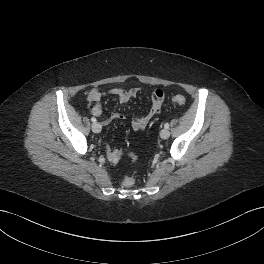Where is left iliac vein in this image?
I'll use <instances>...</instances> for the list:
<instances>
[{"instance_id":"left-iliac-vein-1","label":"left iliac vein","mask_w":264,"mask_h":264,"mask_svg":"<svg viewBox=\"0 0 264 264\" xmlns=\"http://www.w3.org/2000/svg\"><path fill=\"white\" fill-rule=\"evenodd\" d=\"M160 136H161V138L162 139H167V138H169V136H170V132H169V130L168 129H163V130H161V132H160Z\"/></svg>"}]
</instances>
